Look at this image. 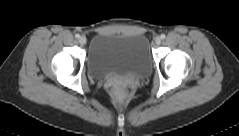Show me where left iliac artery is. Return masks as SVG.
Returning a JSON list of instances; mask_svg holds the SVG:
<instances>
[{"label":"left iliac artery","instance_id":"44dca946","mask_svg":"<svg viewBox=\"0 0 239 136\" xmlns=\"http://www.w3.org/2000/svg\"><path fill=\"white\" fill-rule=\"evenodd\" d=\"M160 37H161V39H165L166 36H165V34H161Z\"/></svg>","mask_w":239,"mask_h":136}]
</instances>
